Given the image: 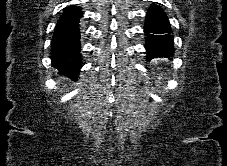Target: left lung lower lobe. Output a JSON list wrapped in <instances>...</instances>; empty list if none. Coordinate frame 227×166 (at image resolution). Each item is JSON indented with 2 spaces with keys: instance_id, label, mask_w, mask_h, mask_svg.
I'll use <instances>...</instances> for the list:
<instances>
[{
  "instance_id": "obj_1",
  "label": "left lung lower lobe",
  "mask_w": 227,
  "mask_h": 166,
  "mask_svg": "<svg viewBox=\"0 0 227 166\" xmlns=\"http://www.w3.org/2000/svg\"><path fill=\"white\" fill-rule=\"evenodd\" d=\"M146 35L147 60L155 56H171L174 53V42L171 33L170 23L164 11L152 5L146 17L144 26Z\"/></svg>"
}]
</instances>
